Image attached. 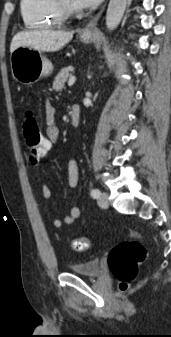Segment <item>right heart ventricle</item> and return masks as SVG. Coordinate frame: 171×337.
<instances>
[{
  "mask_svg": "<svg viewBox=\"0 0 171 337\" xmlns=\"http://www.w3.org/2000/svg\"><path fill=\"white\" fill-rule=\"evenodd\" d=\"M24 24L32 29H47L59 26L64 17L56 0H20Z\"/></svg>",
  "mask_w": 171,
  "mask_h": 337,
  "instance_id": "1",
  "label": "right heart ventricle"
}]
</instances>
